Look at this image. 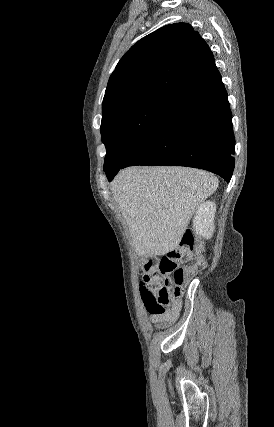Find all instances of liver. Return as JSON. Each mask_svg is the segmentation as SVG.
Returning <instances> with one entry per match:
<instances>
[{"mask_svg": "<svg viewBox=\"0 0 274 427\" xmlns=\"http://www.w3.org/2000/svg\"><path fill=\"white\" fill-rule=\"evenodd\" d=\"M214 174L194 168H125L111 184L138 255L177 249L198 206L218 188Z\"/></svg>", "mask_w": 274, "mask_h": 427, "instance_id": "liver-1", "label": "liver"}]
</instances>
